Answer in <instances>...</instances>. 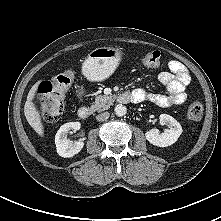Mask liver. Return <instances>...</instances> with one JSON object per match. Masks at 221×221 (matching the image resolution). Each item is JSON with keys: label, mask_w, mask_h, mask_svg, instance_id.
Masks as SVG:
<instances>
[{"label": "liver", "mask_w": 221, "mask_h": 221, "mask_svg": "<svg viewBox=\"0 0 221 221\" xmlns=\"http://www.w3.org/2000/svg\"><path fill=\"white\" fill-rule=\"evenodd\" d=\"M40 84V81H38L31 90L28 93L27 101L24 106V114L25 117L29 123V125L35 130V132L43 137L44 136V126L41 121L40 113L36 107V105L33 103V99L35 97V92L38 88V85Z\"/></svg>", "instance_id": "1"}]
</instances>
